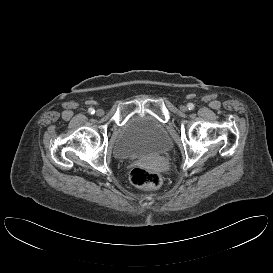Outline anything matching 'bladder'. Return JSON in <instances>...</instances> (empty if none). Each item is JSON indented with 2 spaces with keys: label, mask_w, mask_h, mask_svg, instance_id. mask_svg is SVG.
<instances>
[{
  "label": "bladder",
  "mask_w": 273,
  "mask_h": 273,
  "mask_svg": "<svg viewBox=\"0 0 273 273\" xmlns=\"http://www.w3.org/2000/svg\"><path fill=\"white\" fill-rule=\"evenodd\" d=\"M173 146L165 126L150 115H132L119 128L113 143L115 158L156 157L167 153Z\"/></svg>",
  "instance_id": "31cf9c89"
}]
</instances>
